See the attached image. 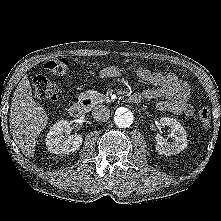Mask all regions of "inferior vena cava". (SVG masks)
<instances>
[{
	"label": "inferior vena cava",
	"instance_id": "1",
	"mask_svg": "<svg viewBox=\"0 0 221 221\" xmlns=\"http://www.w3.org/2000/svg\"><path fill=\"white\" fill-rule=\"evenodd\" d=\"M92 115L96 121L106 122L110 117V110L105 105H98L93 109Z\"/></svg>",
	"mask_w": 221,
	"mask_h": 221
}]
</instances>
